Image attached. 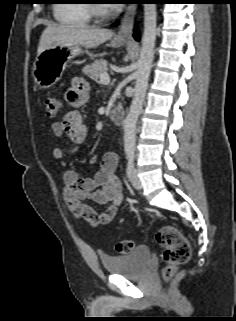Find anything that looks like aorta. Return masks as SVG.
<instances>
[{
	"mask_svg": "<svg viewBox=\"0 0 236 321\" xmlns=\"http://www.w3.org/2000/svg\"><path fill=\"white\" fill-rule=\"evenodd\" d=\"M156 21V4H144V32L140 56L137 62V70L135 72L134 96L130 110L124 121L126 151H133L135 149L136 123L143 107L155 53Z\"/></svg>",
	"mask_w": 236,
	"mask_h": 321,
	"instance_id": "762f6f07",
	"label": "aorta"
}]
</instances>
